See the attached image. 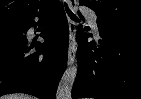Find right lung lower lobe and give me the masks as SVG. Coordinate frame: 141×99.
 <instances>
[{"label":"right lung lower lobe","mask_w":141,"mask_h":99,"mask_svg":"<svg viewBox=\"0 0 141 99\" xmlns=\"http://www.w3.org/2000/svg\"><path fill=\"white\" fill-rule=\"evenodd\" d=\"M37 25L43 28L41 36L45 41L30 44L26 33ZM68 40V22L60 2L43 14L1 22L0 96L26 93L54 99L66 67ZM33 48L37 51L33 52Z\"/></svg>","instance_id":"obj_1"}]
</instances>
